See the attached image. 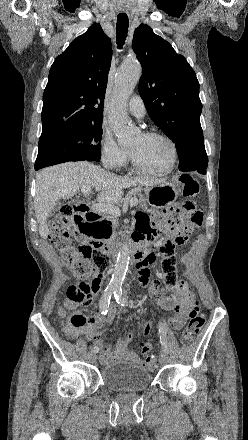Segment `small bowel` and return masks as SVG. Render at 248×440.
<instances>
[{"mask_svg":"<svg viewBox=\"0 0 248 440\" xmlns=\"http://www.w3.org/2000/svg\"><path fill=\"white\" fill-rule=\"evenodd\" d=\"M137 232L135 235L140 236L143 240H153L160 228L163 225H168L175 229L174 233L183 232L189 233L193 227L188 223L179 222V217L168 211L162 213H155L152 217H149L145 213H139L136 216ZM156 257L151 256L144 258V266L139 268L140 285L145 286L149 282L150 268L149 265L155 261ZM184 263L189 262L188 257L182 259ZM159 276L162 282V290L159 289L161 282L158 279L151 280L149 287V294L155 300L156 305L164 310L174 311L176 315L171 319V324L175 329H180L184 324V319L180 313L190 312L197 307L195 296L189 289L185 281L178 280L177 273L180 266L178 257H160L159 258ZM93 274L96 277L97 294L101 288L104 276L110 269L108 267L98 268ZM174 294L169 296L167 294ZM167 293V294H166ZM68 309L65 306L59 308L58 315L62 319L63 330L69 337L79 338L84 336L87 339L93 340L94 344L100 349V362L102 364H108L117 360H127L134 363L141 364L142 360L138 355L129 349V346L134 340V335L128 333L123 336L118 342L115 348L108 345H104L102 341V335L107 325L114 319V317L120 314V309L112 307L106 315H95L88 320V323L84 326L75 327L67 319ZM81 313V312H77Z\"/></svg>","mask_w":248,"mask_h":440,"instance_id":"1","label":"small bowel"}]
</instances>
